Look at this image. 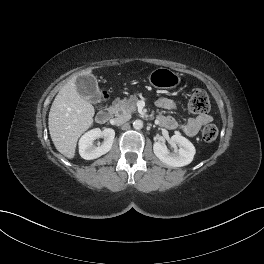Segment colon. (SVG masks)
Wrapping results in <instances>:
<instances>
[{
	"label": "colon",
	"mask_w": 264,
	"mask_h": 264,
	"mask_svg": "<svg viewBox=\"0 0 264 264\" xmlns=\"http://www.w3.org/2000/svg\"><path fill=\"white\" fill-rule=\"evenodd\" d=\"M188 107L195 114H207L210 110V101L207 93L200 88L193 90L189 98ZM201 135L205 142H212L218 136V128L213 124H208L202 129Z\"/></svg>",
	"instance_id": "colon-1"
}]
</instances>
